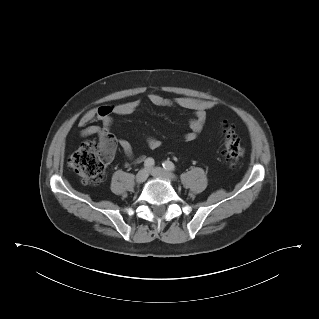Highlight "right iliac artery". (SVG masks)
<instances>
[{"label":"right iliac artery","mask_w":319,"mask_h":319,"mask_svg":"<svg viewBox=\"0 0 319 319\" xmlns=\"http://www.w3.org/2000/svg\"><path fill=\"white\" fill-rule=\"evenodd\" d=\"M144 165L146 168H151L154 165V160L152 158H147Z\"/></svg>","instance_id":"obj_1"}]
</instances>
